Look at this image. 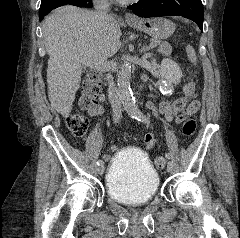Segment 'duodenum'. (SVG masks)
I'll return each instance as SVG.
<instances>
[{
  "mask_svg": "<svg viewBox=\"0 0 240 238\" xmlns=\"http://www.w3.org/2000/svg\"><path fill=\"white\" fill-rule=\"evenodd\" d=\"M107 81H108V83H111L112 82V77L110 76V75H107Z\"/></svg>",
  "mask_w": 240,
  "mask_h": 238,
  "instance_id": "duodenum-1",
  "label": "duodenum"
}]
</instances>
